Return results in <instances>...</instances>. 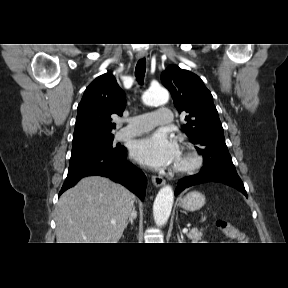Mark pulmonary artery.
<instances>
[{
  "instance_id": "e3ab8cb5",
  "label": "pulmonary artery",
  "mask_w": 288,
  "mask_h": 288,
  "mask_svg": "<svg viewBox=\"0 0 288 288\" xmlns=\"http://www.w3.org/2000/svg\"><path fill=\"white\" fill-rule=\"evenodd\" d=\"M172 122V112L168 108H159L155 112L139 114L129 121L128 125L119 130L116 139L122 140L150 131L159 125H169Z\"/></svg>"
}]
</instances>
